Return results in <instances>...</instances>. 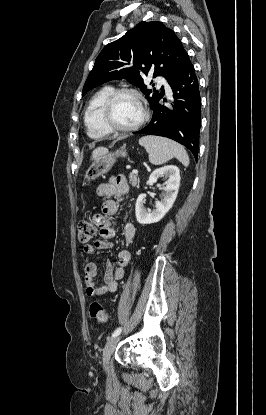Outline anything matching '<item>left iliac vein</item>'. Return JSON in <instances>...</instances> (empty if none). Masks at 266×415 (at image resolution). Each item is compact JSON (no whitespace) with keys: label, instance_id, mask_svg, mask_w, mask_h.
Masks as SVG:
<instances>
[{"label":"left iliac vein","instance_id":"obj_1","mask_svg":"<svg viewBox=\"0 0 266 415\" xmlns=\"http://www.w3.org/2000/svg\"><path fill=\"white\" fill-rule=\"evenodd\" d=\"M120 340V336H114L108 339L103 349V365L107 368L111 355L113 354L117 343Z\"/></svg>","mask_w":266,"mask_h":415}]
</instances>
